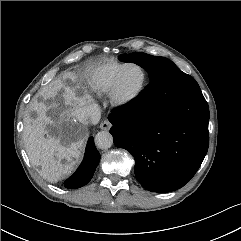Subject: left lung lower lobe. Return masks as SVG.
<instances>
[{
  "label": "left lung lower lobe",
  "mask_w": 241,
  "mask_h": 241,
  "mask_svg": "<svg viewBox=\"0 0 241 241\" xmlns=\"http://www.w3.org/2000/svg\"><path fill=\"white\" fill-rule=\"evenodd\" d=\"M117 147L135 159V176L152 192L183 187L199 169L209 146V107L201 91L172 99L156 76L124 108L109 115Z\"/></svg>",
  "instance_id": "obj_1"
}]
</instances>
